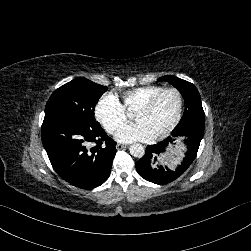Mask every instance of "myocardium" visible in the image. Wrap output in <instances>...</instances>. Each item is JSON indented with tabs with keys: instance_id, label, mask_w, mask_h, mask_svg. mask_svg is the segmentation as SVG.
Listing matches in <instances>:
<instances>
[{
	"instance_id": "1",
	"label": "myocardium",
	"mask_w": 251,
	"mask_h": 251,
	"mask_svg": "<svg viewBox=\"0 0 251 251\" xmlns=\"http://www.w3.org/2000/svg\"><path fill=\"white\" fill-rule=\"evenodd\" d=\"M168 93H175L178 96L179 100V108H178V113L175 118V120L169 124L168 126L162 128L159 131V135H166L171 132H173L182 122L183 115H184V108H185V101H184V96L181 90L178 88L170 87V88H164L161 90L159 93L154 95L152 98H150L148 101L143 103L142 105L139 106L140 109H152L158 101L166 94Z\"/></svg>"
}]
</instances>
